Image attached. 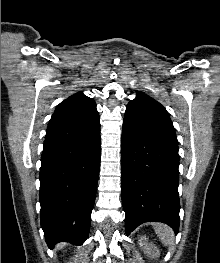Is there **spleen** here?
<instances>
[{
	"mask_svg": "<svg viewBox=\"0 0 220 263\" xmlns=\"http://www.w3.org/2000/svg\"><path fill=\"white\" fill-rule=\"evenodd\" d=\"M154 230L164 245L169 246L173 244L174 236L170 227L164 224H155Z\"/></svg>",
	"mask_w": 220,
	"mask_h": 263,
	"instance_id": "3e777b00",
	"label": "spleen"
}]
</instances>
